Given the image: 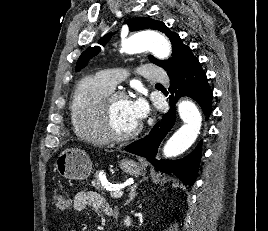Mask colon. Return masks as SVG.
I'll return each instance as SVG.
<instances>
[{
    "label": "colon",
    "instance_id": "1",
    "mask_svg": "<svg viewBox=\"0 0 268 231\" xmlns=\"http://www.w3.org/2000/svg\"><path fill=\"white\" fill-rule=\"evenodd\" d=\"M53 206L57 213H64L70 208V200L66 194L57 192L53 195Z\"/></svg>",
    "mask_w": 268,
    "mask_h": 231
}]
</instances>
